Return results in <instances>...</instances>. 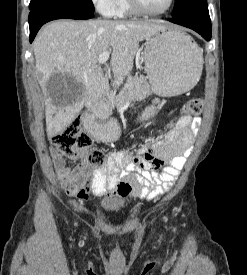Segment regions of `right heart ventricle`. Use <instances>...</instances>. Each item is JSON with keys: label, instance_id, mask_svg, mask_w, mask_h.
<instances>
[{"label": "right heart ventricle", "instance_id": "right-heart-ventricle-1", "mask_svg": "<svg viewBox=\"0 0 247 275\" xmlns=\"http://www.w3.org/2000/svg\"><path fill=\"white\" fill-rule=\"evenodd\" d=\"M128 0H117L115 10L112 14L113 17L123 18L134 15Z\"/></svg>", "mask_w": 247, "mask_h": 275}]
</instances>
